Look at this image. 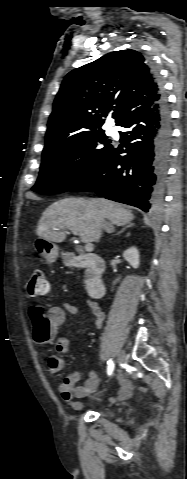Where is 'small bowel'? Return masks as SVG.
<instances>
[{"mask_svg": "<svg viewBox=\"0 0 187 479\" xmlns=\"http://www.w3.org/2000/svg\"><path fill=\"white\" fill-rule=\"evenodd\" d=\"M89 306V314L93 319V324L96 328H101L104 322V313L102 309L93 301L87 299ZM40 305H32L29 308V314L35 325V333L40 337H46L49 334H56L64 323L65 313L70 312L72 314H78L79 310L73 305L62 304L54 306L49 310V322L46 323L40 316ZM69 352V339L67 337H59L56 343V354H51L47 357V369L50 374L56 375L65 369V361L60 356ZM83 376V372L80 370L74 371L69 374L60 384L59 392L61 397L69 403L73 408H81L80 402H75V398H83L94 392L99 385V378L96 373L90 372L88 377L82 386H75V383ZM120 389L118 392V398H126L131 395L133 391V385L128 378L124 375L119 377ZM115 399L112 398L111 402Z\"/></svg>", "mask_w": 187, "mask_h": 479, "instance_id": "1", "label": "small bowel"}]
</instances>
